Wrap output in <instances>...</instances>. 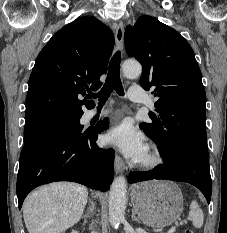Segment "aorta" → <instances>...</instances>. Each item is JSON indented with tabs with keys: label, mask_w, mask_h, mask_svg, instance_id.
Segmentation results:
<instances>
[{
	"label": "aorta",
	"mask_w": 227,
	"mask_h": 233,
	"mask_svg": "<svg viewBox=\"0 0 227 233\" xmlns=\"http://www.w3.org/2000/svg\"><path fill=\"white\" fill-rule=\"evenodd\" d=\"M124 75L129 79L141 75L142 66L137 61H125L122 65ZM127 182L124 176L114 179L109 194V221L112 227L118 228L124 220L126 207Z\"/></svg>",
	"instance_id": "1"
}]
</instances>
